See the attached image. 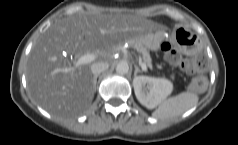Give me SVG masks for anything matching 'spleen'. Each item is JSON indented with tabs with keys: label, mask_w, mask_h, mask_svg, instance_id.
Listing matches in <instances>:
<instances>
[{
	"label": "spleen",
	"mask_w": 238,
	"mask_h": 145,
	"mask_svg": "<svg viewBox=\"0 0 238 145\" xmlns=\"http://www.w3.org/2000/svg\"><path fill=\"white\" fill-rule=\"evenodd\" d=\"M198 100L197 94L188 91L182 92L163 100L152 115L161 120L174 118L196 106Z\"/></svg>",
	"instance_id": "spleen-1"
}]
</instances>
